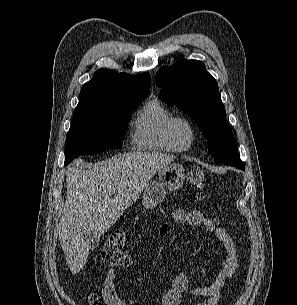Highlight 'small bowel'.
Listing matches in <instances>:
<instances>
[{
    "label": "small bowel",
    "mask_w": 297,
    "mask_h": 305,
    "mask_svg": "<svg viewBox=\"0 0 297 305\" xmlns=\"http://www.w3.org/2000/svg\"><path fill=\"white\" fill-rule=\"evenodd\" d=\"M172 219L177 224L202 226L208 232L214 233L223 244L225 256L214 282L210 285L193 287L190 285L186 274H176L172 279L171 287L162 294L160 305H179L184 295L200 298L201 301L197 305H217L223 297L225 285L231 279L237 267L238 252L230 234L220 226L215 217L205 215L197 209L188 211L176 209L172 213ZM167 234L168 226L163 224L160 227L159 236L164 238ZM101 295L105 305H136L135 301L119 288L115 269H110L107 272ZM89 305H102V303L96 296L91 295Z\"/></svg>",
    "instance_id": "1"
}]
</instances>
